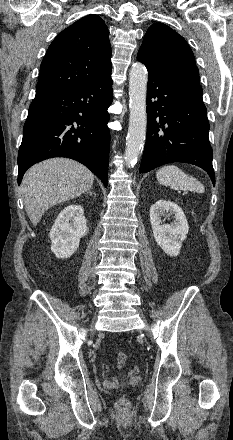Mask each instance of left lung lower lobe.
I'll return each mask as SVG.
<instances>
[{
    "label": "left lung lower lobe",
    "mask_w": 233,
    "mask_h": 440,
    "mask_svg": "<svg viewBox=\"0 0 233 440\" xmlns=\"http://www.w3.org/2000/svg\"><path fill=\"white\" fill-rule=\"evenodd\" d=\"M198 85L156 77L147 85V137L140 172L171 162L203 168L215 185L209 122Z\"/></svg>",
    "instance_id": "obj_1"
}]
</instances>
